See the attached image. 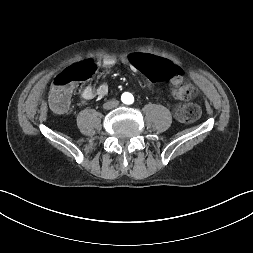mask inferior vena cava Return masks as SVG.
Masks as SVG:
<instances>
[{
	"label": "inferior vena cava",
	"instance_id": "602c4592",
	"mask_svg": "<svg viewBox=\"0 0 253 253\" xmlns=\"http://www.w3.org/2000/svg\"><path fill=\"white\" fill-rule=\"evenodd\" d=\"M118 104H119V101L111 100V101H108V102L104 103L103 107L105 109H111V108L117 107Z\"/></svg>",
	"mask_w": 253,
	"mask_h": 253
}]
</instances>
